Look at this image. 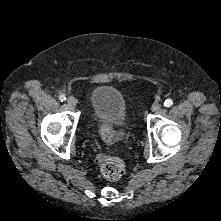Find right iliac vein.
<instances>
[{"label":"right iliac vein","mask_w":221,"mask_h":221,"mask_svg":"<svg viewBox=\"0 0 221 221\" xmlns=\"http://www.w3.org/2000/svg\"><path fill=\"white\" fill-rule=\"evenodd\" d=\"M67 103L69 106L74 107L77 104V100L74 97L70 96L67 98Z\"/></svg>","instance_id":"right-iliac-vein-1"}]
</instances>
